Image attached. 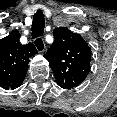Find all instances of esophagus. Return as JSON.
I'll return each mask as SVG.
<instances>
[{"mask_svg":"<svg viewBox=\"0 0 117 117\" xmlns=\"http://www.w3.org/2000/svg\"><path fill=\"white\" fill-rule=\"evenodd\" d=\"M34 45H35L36 49L38 50V52H40V53L45 52V50H46L45 44L41 38L36 39L34 42Z\"/></svg>","mask_w":117,"mask_h":117,"instance_id":"esophagus-1","label":"esophagus"}]
</instances>
